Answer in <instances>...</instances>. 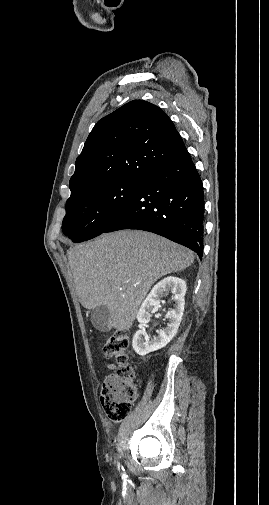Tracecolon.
<instances>
[{
    "mask_svg": "<svg viewBox=\"0 0 269 505\" xmlns=\"http://www.w3.org/2000/svg\"><path fill=\"white\" fill-rule=\"evenodd\" d=\"M129 344V334L126 331H116L103 346V355L118 364L116 372L103 381L100 396L104 411L113 422L126 418L137 399L134 372L128 365Z\"/></svg>",
    "mask_w": 269,
    "mask_h": 505,
    "instance_id": "colon-1",
    "label": "colon"
}]
</instances>
